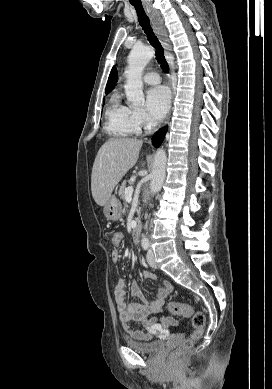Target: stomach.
Returning <instances> with one entry per match:
<instances>
[{
	"instance_id": "obj_1",
	"label": "stomach",
	"mask_w": 272,
	"mask_h": 389,
	"mask_svg": "<svg viewBox=\"0 0 272 389\" xmlns=\"http://www.w3.org/2000/svg\"><path fill=\"white\" fill-rule=\"evenodd\" d=\"M103 213L108 220L115 221L120 219L122 214L120 201L115 196H111L103 208Z\"/></svg>"
}]
</instances>
